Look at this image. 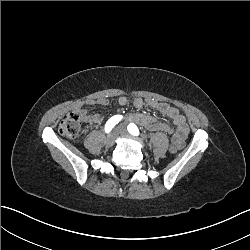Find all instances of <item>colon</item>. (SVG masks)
<instances>
[{
  "mask_svg": "<svg viewBox=\"0 0 250 250\" xmlns=\"http://www.w3.org/2000/svg\"><path fill=\"white\" fill-rule=\"evenodd\" d=\"M81 129V117L77 112H71L67 114L59 123L58 131L59 133L67 138L74 139L79 135ZM177 141H172L169 147L170 153H175L179 149Z\"/></svg>",
  "mask_w": 250,
  "mask_h": 250,
  "instance_id": "obj_1",
  "label": "colon"
}]
</instances>
